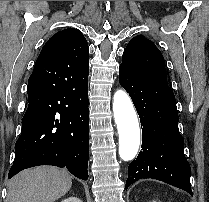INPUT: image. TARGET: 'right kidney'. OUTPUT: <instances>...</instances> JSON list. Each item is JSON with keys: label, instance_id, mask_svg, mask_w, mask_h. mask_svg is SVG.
Wrapping results in <instances>:
<instances>
[{"label": "right kidney", "instance_id": "right-kidney-1", "mask_svg": "<svg viewBox=\"0 0 209 202\" xmlns=\"http://www.w3.org/2000/svg\"><path fill=\"white\" fill-rule=\"evenodd\" d=\"M61 202H82L78 197H69L67 199L62 200Z\"/></svg>", "mask_w": 209, "mask_h": 202}]
</instances>
